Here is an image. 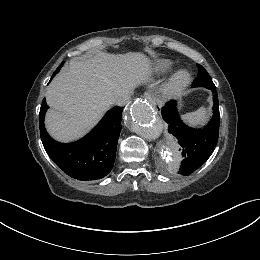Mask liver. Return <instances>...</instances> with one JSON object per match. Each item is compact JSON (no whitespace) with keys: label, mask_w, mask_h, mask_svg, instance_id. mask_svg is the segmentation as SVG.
<instances>
[{"label":"liver","mask_w":260,"mask_h":260,"mask_svg":"<svg viewBox=\"0 0 260 260\" xmlns=\"http://www.w3.org/2000/svg\"><path fill=\"white\" fill-rule=\"evenodd\" d=\"M152 75L150 59L140 52L72 59L48 86L45 117L49 134L71 142L86 134L102 118L119 93L146 83Z\"/></svg>","instance_id":"liver-1"}]
</instances>
